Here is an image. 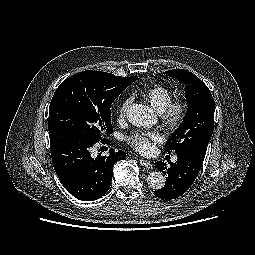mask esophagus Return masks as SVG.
Listing matches in <instances>:
<instances>
[{
  "instance_id": "34e87169",
  "label": "esophagus",
  "mask_w": 255,
  "mask_h": 255,
  "mask_svg": "<svg viewBox=\"0 0 255 255\" xmlns=\"http://www.w3.org/2000/svg\"><path fill=\"white\" fill-rule=\"evenodd\" d=\"M139 163H140L142 166H144L145 168H148V169H152V168H153V165H152L151 162L148 161V160L141 159V160L139 161Z\"/></svg>"
}]
</instances>
